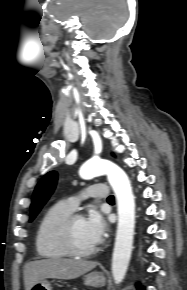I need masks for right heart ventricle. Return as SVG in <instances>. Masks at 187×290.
I'll use <instances>...</instances> for the list:
<instances>
[{
	"label": "right heart ventricle",
	"instance_id": "e07e8e85",
	"mask_svg": "<svg viewBox=\"0 0 187 290\" xmlns=\"http://www.w3.org/2000/svg\"><path fill=\"white\" fill-rule=\"evenodd\" d=\"M72 212L73 210L64 201L57 202L46 210L35 235V247L40 257L57 260L70 256L59 240L58 226Z\"/></svg>",
	"mask_w": 187,
	"mask_h": 290
}]
</instances>
